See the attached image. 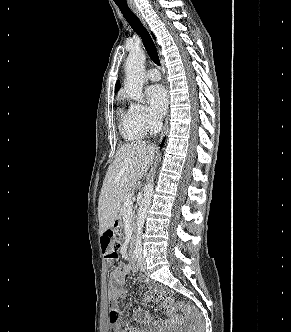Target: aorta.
I'll use <instances>...</instances> for the list:
<instances>
[{
  "label": "aorta",
  "mask_w": 291,
  "mask_h": 332,
  "mask_svg": "<svg viewBox=\"0 0 291 332\" xmlns=\"http://www.w3.org/2000/svg\"><path fill=\"white\" fill-rule=\"evenodd\" d=\"M146 56L144 51L137 50L129 53L125 64V90L127 94L139 101L143 102V84L145 79L144 64ZM154 191V183L150 181L144 188V194L140 203L137 214V230L134 253L140 255L142 253V231L144 222L151 205V200Z\"/></svg>",
  "instance_id": "aorta-1"
}]
</instances>
